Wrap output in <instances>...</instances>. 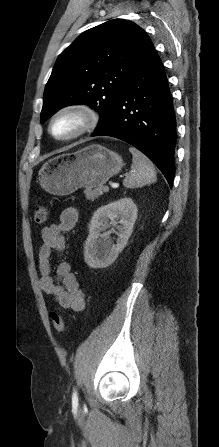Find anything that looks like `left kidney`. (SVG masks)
Wrapping results in <instances>:
<instances>
[{
	"instance_id": "1",
	"label": "left kidney",
	"mask_w": 219,
	"mask_h": 447,
	"mask_svg": "<svg viewBox=\"0 0 219 447\" xmlns=\"http://www.w3.org/2000/svg\"><path fill=\"white\" fill-rule=\"evenodd\" d=\"M137 219V206L131 198H121L98 208L91 219L89 235L85 242L84 259L93 269L106 268L126 246ZM110 224L118 223L116 244L109 239L111 231L104 232ZM103 232V233H102Z\"/></svg>"
}]
</instances>
